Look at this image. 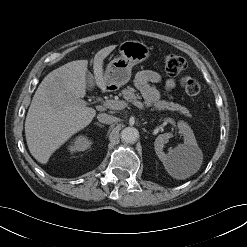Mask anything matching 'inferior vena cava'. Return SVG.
<instances>
[{"instance_id": "obj_1", "label": "inferior vena cava", "mask_w": 247, "mask_h": 247, "mask_svg": "<svg viewBox=\"0 0 247 247\" xmlns=\"http://www.w3.org/2000/svg\"><path fill=\"white\" fill-rule=\"evenodd\" d=\"M97 119L99 122L105 123V124H111L117 121V118L115 116H112L106 113L98 114Z\"/></svg>"}]
</instances>
